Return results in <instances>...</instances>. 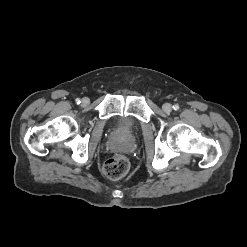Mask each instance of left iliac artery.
Segmentation results:
<instances>
[{
  "label": "left iliac artery",
  "mask_w": 247,
  "mask_h": 247,
  "mask_svg": "<svg viewBox=\"0 0 247 247\" xmlns=\"http://www.w3.org/2000/svg\"><path fill=\"white\" fill-rule=\"evenodd\" d=\"M173 109L174 110H178L179 109V105H177V104L173 105Z\"/></svg>",
  "instance_id": "left-iliac-artery-1"
}]
</instances>
